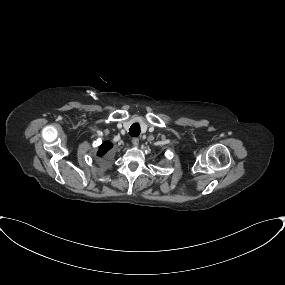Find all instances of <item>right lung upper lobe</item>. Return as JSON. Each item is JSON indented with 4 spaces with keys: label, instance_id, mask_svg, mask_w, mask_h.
I'll use <instances>...</instances> for the list:
<instances>
[{
    "label": "right lung upper lobe",
    "instance_id": "obj_1",
    "mask_svg": "<svg viewBox=\"0 0 285 285\" xmlns=\"http://www.w3.org/2000/svg\"><path fill=\"white\" fill-rule=\"evenodd\" d=\"M112 148V143L106 141L104 142L101 146L100 149L98 151V155L99 156H103L108 150H110Z\"/></svg>",
    "mask_w": 285,
    "mask_h": 285
}]
</instances>
